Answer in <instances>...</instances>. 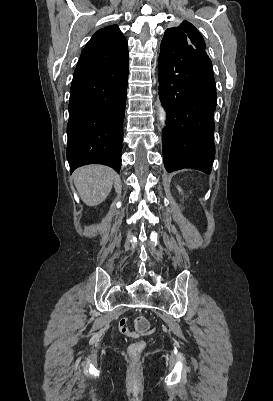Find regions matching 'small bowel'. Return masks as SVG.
<instances>
[{"label":"small bowel","mask_w":273,"mask_h":401,"mask_svg":"<svg viewBox=\"0 0 273 401\" xmlns=\"http://www.w3.org/2000/svg\"><path fill=\"white\" fill-rule=\"evenodd\" d=\"M117 322H118L119 333L121 334L122 338H133L135 336V333L131 331V328L129 327V324L127 323L126 319L121 317L118 319ZM150 332L154 333L155 329L151 328Z\"/></svg>","instance_id":"1"}]
</instances>
